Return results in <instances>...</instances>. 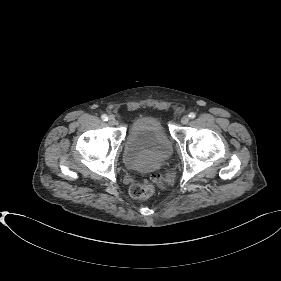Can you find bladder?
<instances>
[{
	"label": "bladder",
	"instance_id": "bladder-1",
	"mask_svg": "<svg viewBox=\"0 0 281 281\" xmlns=\"http://www.w3.org/2000/svg\"><path fill=\"white\" fill-rule=\"evenodd\" d=\"M171 155L170 140L158 118L141 116L131 123L124 149V161L129 168L153 170L164 165Z\"/></svg>",
	"mask_w": 281,
	"mask_h": 281
}]
</instances>
